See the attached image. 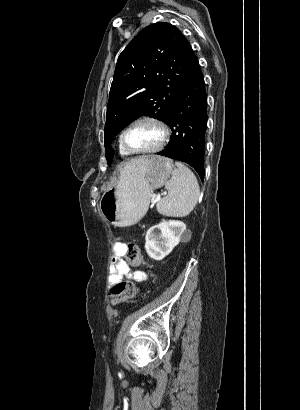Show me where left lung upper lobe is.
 <instances>
[{"mask_svg": "<svg viewBox=\"0 0 300 410\" xmlns=\"http://www.w3.org/2000/svg\"><path fill=\"white\" fill-rule=\"evenodd\" d=\"M196 56L181 31L165 22L144 28L119 55L104 129L106 159L111 141L140 116L165 121Z\"/></svg>", "mask_w": 300, "mask_h": 410, "instance_id": "1", "label": "left lung upper lobe"}]
</instances>
